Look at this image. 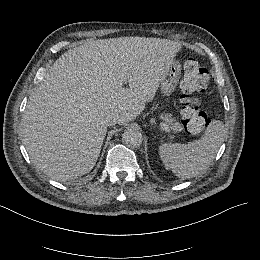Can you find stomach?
<instances>
[{
	"instance_id": "obj_1",
	"label": "stomach",
	"mask_w": 260,
	"mask_h": 260,
	"mask_svg": "<svg viewBox=\"0 0 260 260\" xmlns=\"http://www.w3.org/2000/svg\"><path fill=\"white\" fill-rule=\"evenodd\" d=\"M181 77V69L180 68H170L161 79V91L164 95H171Z\"/></svg>"
}]
</instances>
